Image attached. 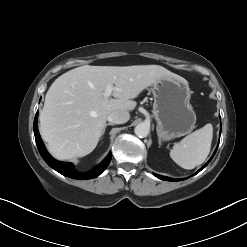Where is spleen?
<instances>
[{"instance_id": "3e777b00", "label": "spleen", "mask_w": 247, "mask_h": 247, "mask_svg": "<svg viewBox=\"0 0 247 247\" xmlns=\"http://www.w3.org/2000/svg\"><path fill=\"white\" fill-rule=\"evenodd\" d=\"M213 137V127L206 124L201 129L187 135L170 151L172 160L184 169H193L207 158Z\"/></svg>"}]
</instances>
